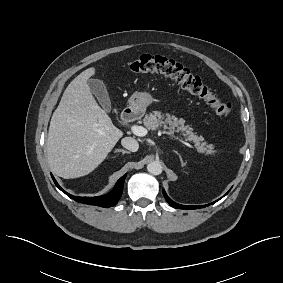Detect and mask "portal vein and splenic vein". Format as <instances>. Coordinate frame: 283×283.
I'll return each instance as SVG.
<instances>
[{"label": "portal vein and splenic vein", "instance_id": "portal-vein-and-splenic-vein-1", "mask_svg": "<svg viewBox=\"0 0 283 283\" xmlns=\"http://www.w3.org/2000/svg\"><path fill=\"white\" fill-rule=\"evenodd\" d=\"M131 131L133 132V134H135L136 136H140V137L146 136L147 133H148L146 128H144L143 126H137V125H132ZM162 133L163 134H169V135L171 134V133L166 132V131H163ZM183 144H185L186 146H188L190 148H193L192 145H190L189 143L183 142Z\"/></svg>", "mask_w": 283, "mask_h": 283}]
</instances>
